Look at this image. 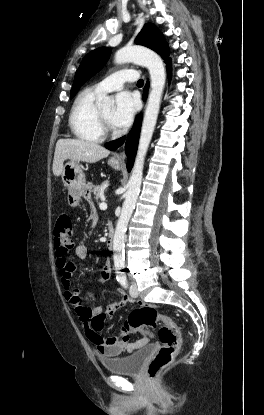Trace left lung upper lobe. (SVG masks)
Listing matches in <instances>:
<instances>
[{
	"label": "left lung upper lobe",
	"mask_w": 264,
	"mask_h": 415,
	"mask_svg": "<svg viewBox=\"0 0 264 415\" xmlns=\"http://www.w3.org/2000/svg\"><path fill=\"white\" fill-rule=\"evenodd\" d=\"M135 43L154 50L164 59L165 63L171 60L169 58V47L163 34L152 23L144 25L143 29L135 39ZM110 53V48L101 47L93 50L83 58L75 73L73 87L71 88V99L75 96L80 87L104 66Z\"/></svg>",
	"instance_id": "obj_1"
}]
</instances>
